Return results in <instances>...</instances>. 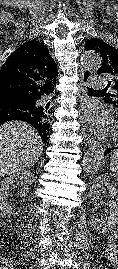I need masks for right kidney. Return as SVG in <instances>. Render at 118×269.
Returning a JSON list of instances; mask_svg holds the SVG:
<instances>
[{"label":"right kidney","mask_w":118,"mask_h":269,"mask_svg":"<svg viewBox=\"0 0 118 269\" xmlns=\"http://www.w3.org/2000/svg\"><path fill=\"white\" fill-rule=\"evenodd\" d=\"M34 181V174L30 171L18 172L5 178L0 184V215L11 214L12 207L9 204L10 189L12 186L20 185V194L25 196L29 192V186Z\"/></svg>","instance_id":"right-kidney-1"}]
</instances>
